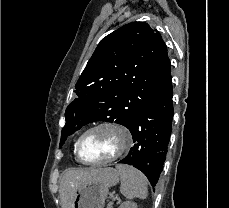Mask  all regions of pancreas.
<instances>
[{
  "label": "pancreas",
  "instance_id": "cf45deb5",
  "mask_svg": "<svg viewBox=\"0 0 229 208\" xmlns=\"http://www.w3.org/2000/svg\"><path fill=\"white\" fill-rule=\"evenodd\" d=\"M107 208H112V204H108Z\"/></svg>",
  "mask_w": 229,
  "mask_h": 208
}]
</instances>
